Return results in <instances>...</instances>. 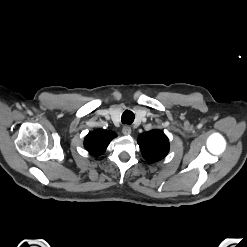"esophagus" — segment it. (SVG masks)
I'll use <instances>...</instances> for the list:
<instances>
[{
	"label": "esophagus",
	"instance_id": "obj_1",
	"mask_svg": "<svg viewBox=\"0 0 247 247\" xmlns=\"http://www.w3.org/2000/svg\"><path fill=\"white\" fill-rule=\"evenodd\" d=\"M131 132H132V129H131L130 126H128V125H124V126H123V128H122V133H123L124 135H130Z\"/></svg>",
	"mask_w": 247,
	"mask_h": 247
}]
</instances>
